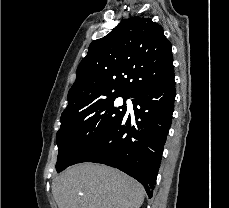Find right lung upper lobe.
<instances>
[{
    "label": "right lung upper lobe",
    "mask_w": 229,
    "mask_h": 208,
    "mask_svg": "<svg viewBox=\"0 0 229 208\" xmlns=\"http://www.w3.org/2000/svg\"><path fill=\"white\" fill-rule=\"evenodd\" d=\"M171 48L162 27L150 18L122 20L109 34L90 44L61 118L101 99L133 97L164 79L174 71Z\"/></svg>",
    "instance_id": "1"
}]
</instances>
